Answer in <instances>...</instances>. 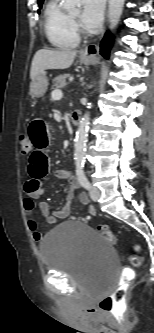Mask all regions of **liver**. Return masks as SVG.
Segmentation results:
<instances>
[{"mask_svg": "<svg viewBox=\"0 0 154 333\" xmlns=\"http://www.w3.org/2000/svg\"><path fill=\"white\" fill-rule=\"evenodd\" d=\"M77 51L70 49H41L36 52L31 64L30 78L33 80L40 72L47 69H66L69 68Z\"/></svg>", "mask_w": 154, "mask_h": 333, "instance_id": "6515ba94", "label": "liver"}]
</instances>
